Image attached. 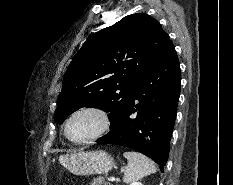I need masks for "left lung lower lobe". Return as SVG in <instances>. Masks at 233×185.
<instances>
[{
    "instance_id": "1",
    "label": "left lung lower lobe",
    "mask_w": 233,
    "mask_h": 185,
    "mask_svg": "<svg viewBox=\"0 0 233 185\" xmlns=\"http://www.w3.org/2000/svg\"><path fill=\"white\" fill-rule=\"evenodd\" d=\"M180 85V64L169 40L138 80L133 98L117 124L97 142L132 148L157 162L163 172L169 155Z\"/></svg>"
}]
</instances>
